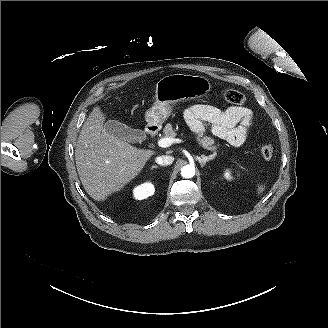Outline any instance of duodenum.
Wrapping results in <instances>:
<instances>
[{"instance_id": "1", "label": "duodenum", "mask_w": 328, "mask_h": 328, "mask_svg": "<svg viewBox=\"0 0 328 328\" xmlns=\"http://www.w3.org/2000/svg\"><path fill=\"white\" fill-rule=\"evenodd\" d=\"M155 133H156L155 128L152 127V126H150V127H148L147 130H146V137H147L148 139H150V138H152V137L155 135Z\"/></svg>"}]
</instances>
